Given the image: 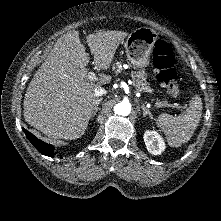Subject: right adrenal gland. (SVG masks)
Here are the masks:
<instances>
[{
	"instance_id": "1",
	"label": "right adrenal gland",
	"mask_w": 221,
	"mask_h": 221,
	"mask_svg": "<svg viewBox=\"0 0 221 221\" xmlns=\"http://www.w3.org/2000/svg\"><path fill=\"white\" fill-rule=\"evenodd\" d=\"M101 101H102V98H99L96 100V107L91 115V118H93L96 115L97 111L99 110V104Z\"/></svg>"
}]
</instances>
